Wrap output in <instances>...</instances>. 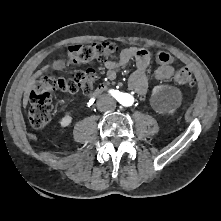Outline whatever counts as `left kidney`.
<instances>
[{"instance_id":"5707ae66","label":"left kidney","mask_w":221,"mask_h":221,"mask_svg":"<svg viewBox=\"0 0 221 221\" xmlns=\"http://www.w3.org/2000/svg\"><path fill=\"white\" fill-rule=\"evenodd\" d=\"M182 95L178 88L167 85L155 86L152 92V104L158 113H172L181 103Z\"/></svg>"}]
</instances>
